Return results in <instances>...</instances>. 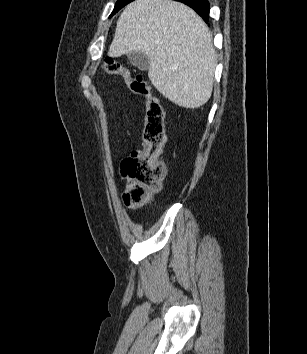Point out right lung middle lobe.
Instances as JSON below:
<instances>
[{
	"mask_svg": "<svg viewBox=\"0 0 307 354\" xmlns=\"http://www.w3.org/2000/svg\"><path fill=\"white\" fill-rule=\"evenodd\" d=\"M133 0H118L115 4L114 10L111 13L110 17L113 16L118 10H120L121 8H123L125 5H127L128 3H130Z\"/></svg>",
	"mask_w": 307,
	"mask_h": 354,
	"instance_id": "1",
	"label": "right lung middle lobe"
}]
</instances>
